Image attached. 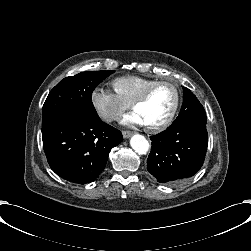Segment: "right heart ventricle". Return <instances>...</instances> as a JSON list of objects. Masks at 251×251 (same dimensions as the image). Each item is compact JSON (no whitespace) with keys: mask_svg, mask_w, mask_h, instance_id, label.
Returning a JSON list of instances; mask_svg holds the SVG:
<instances>
[{"mask_svg":"<svg viewBox=\"0 0 251 251\" xmlns=\"http://www.w3.org/2000/svg\"><path fill=\"white\" fill-rule=\"evenodd\" d=\"M155 79L143 75H125L117 77L112 81V87L116 94L126 103L133 102L142 94V92L153 83Z\"/></svg>","mask_w":251,"mask_h":251,"instance_id":"e07e8e85","label":"right heart ventricle"}]
</instances>
